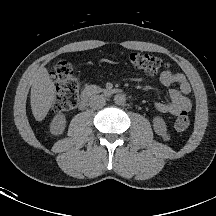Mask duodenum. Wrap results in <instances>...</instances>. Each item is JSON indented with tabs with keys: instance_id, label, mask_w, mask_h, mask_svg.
<instances>
[{
	"instance_id": "duodenum-1",
	"label": "duodenum",
	"mask_w": 216,
	"mask_h": 216,
	"mask_svg": "<svg viewBox=\"0 0 216 216\" xmlns=\"http://www.w3.org/2000/svg\"><path fill=\"white\" fill-rule=\"evenodd\" d=\"M97 94H103L105 96H112V95H119L121 94V90L117 88H109V89H97L93 87L87 88L84 93L82 94L79 100V108L84 109L89 105L90 100Z\"/></svg>"
}]
</instances>
